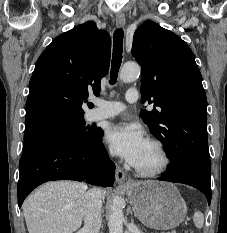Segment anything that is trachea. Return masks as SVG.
I'll return each mask as SVG.
<instances>
[{
	"instance_id": "obj_1",
	"label": "trachea",
	"mask_w": 227,
	"mask_h": 233,
	"mask_svg": "<svg viewBox=\"0 0 227 233\" xmlns=\"http://www.w3.org/2000/svg\"><path fill=\"white\" fill-rule=\"evenodd\" d=\"M123 30L117 29L113 34V54L111 64L110 84L113 85L117 81L118 71L122 62L123 52Z\"/></svg>"
}]
</instances>
